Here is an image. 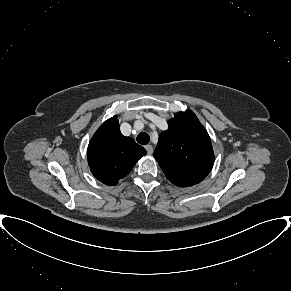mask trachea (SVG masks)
I'll return each mask as SVG.
<instances>
[{"instance_id": "3493384b", "label": "trachea", "mask_w": 291, "mask_h": 291, "mask_svg": "<svg viewBox=\"0 0 291 291\" xmlns=\"http://www.w3.org/2000/svg\"><path fill=\"white\" fill-rule=\"evenodd\" d=\"M149 141H150V136L145 132H141L137 136V142L141 145H146L149 143Z\"/></svg>"}]
</instances>
